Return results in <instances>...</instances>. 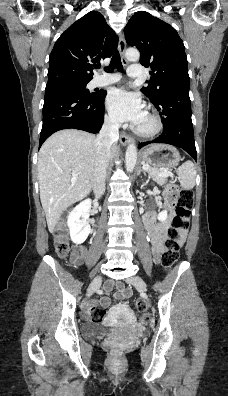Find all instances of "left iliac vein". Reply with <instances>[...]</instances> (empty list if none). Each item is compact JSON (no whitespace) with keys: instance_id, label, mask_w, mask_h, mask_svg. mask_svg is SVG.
I'll list each match as a JSON object with an SVG mask.
<instances>
[{"instance_id":"4c4485c4","label":"left iliac vein","mask_w":228,"mask_h":396,"mask_svg":"<svg viewBox=\"0 0 228 396\" xmlns=\"http://www.w3.org/2000/svg\"><path fill=\"white\" fill-rule=\"evenodd\" d=\"M129 283L133 284L134 286L140 288L142 291H147V285L144 280L139 276H133L127 280Z\"/></svg>"}]
</instances>
